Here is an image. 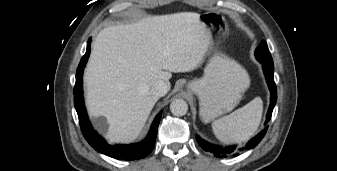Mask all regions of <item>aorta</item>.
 Wrapping results in <instances>:
<instances>
[{
  "label": "aorta",
  "mask_w": 337,
  "mask_h": 171,
  "mask_svg": "<svg viewBox=\"0 0 337 171\" xmlns=\"http://www.w3.org/2000/svg\"><path fill=\"white\" fill-rule=\"evenodd\" d=\"M170 111L175 116H184L188 111V105L183 99H174L170 104Z\"/></svg>",
  "instance_id": "aorta-1"
}]
</instances>
